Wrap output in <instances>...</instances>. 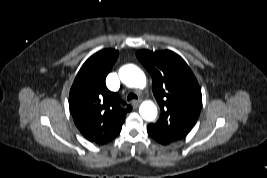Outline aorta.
Here are the masks:
<instances>
[{
	"label": "aorta",
	"mask_w": 267,
	"mask_h": 178,
	"mask_svg": "<svg viewBox=\"0 0 267 178\" xmlns=\"http://www.w3.org/2000/svg\"><path fill=\"white\" fill-rule=\"evenodd\" d=\"M121 81L133 88H144L146 76L144 72L133 64L124 65L119 70ZM139 113L146 121H153L157 116V107L151 101H145L140 105Z\"/></svg>",
	"instance_id": "762f6f07"
}]
</instances>
